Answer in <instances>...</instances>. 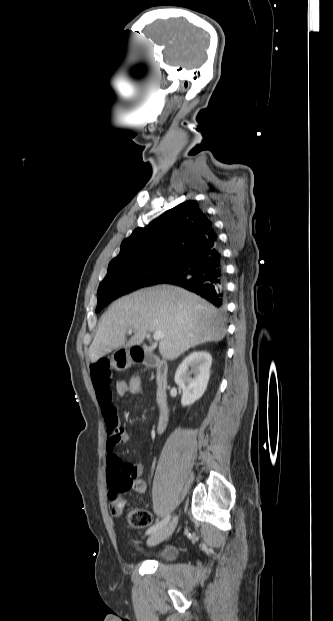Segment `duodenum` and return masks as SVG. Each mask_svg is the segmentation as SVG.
I'll list each match as a JSON object with an SVG mask.
<instances>
[{
    "mask_svg": "<svg viewBox=\"0 0 333 621\" xmlns=\"http://www.w3.org/2000/svg\"><path fill=\"white\" fill-rule=\"evenodd\" d=\"M131 357L135 362L156 370L157 404L159 408V418L156 426L158 433L165 430L169 418V406L167 402L168 387V367L165 361L160 360L154 355L146 353L138 347L131 350Z\"/></svg>",
    "mask_w": 333,
    "mask_h": 621,
    "instance_id": "obj_1",
    "label": "duodenum"
}]
</instances>
